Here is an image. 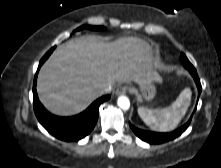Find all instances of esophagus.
Returning a JSON list of instances; mask_svg holds the SVG:
<instances>
[{"instance_id":"esophagus-1","label":"esophagus","mask_w":221,"mask_h":168,"mask_svg":"<svg viewBox=\"0 0 221 168\" xmlns=\"http://www.w3.org/2000/svg\"><path fill=\"white\" fill-rule=\"evenodd\" d=\"M127 90H128V87H127V86H120V87H118V88L116 89L115 94H116L117 96L123 95V94H125V93L127 92Z\"/></svg>"}]
</instances>
